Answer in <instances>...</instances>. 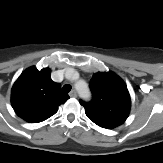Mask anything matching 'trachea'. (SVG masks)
<instances>
[{"label":"trachea","instance_id":"trachea-1","mask_svg":"<svg viewBox=\"0 0 163 163\" xmlns=\"http://www.w3.org/2000/svg\"><path fill=\"white\" fill-rule=\"evenodd\" d=\"M63 91H65V92H70L71 91V86L70 85H68V84H65L64 86H63Z\"/></svg>","mask_w":163,"mask_h":163}]
</instances>
